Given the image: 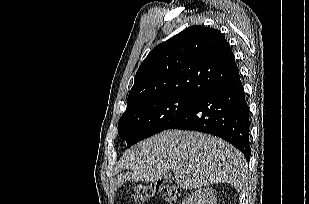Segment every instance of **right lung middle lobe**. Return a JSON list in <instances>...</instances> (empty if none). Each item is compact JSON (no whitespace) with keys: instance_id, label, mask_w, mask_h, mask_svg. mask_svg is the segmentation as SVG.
<instances>
[{"instance_id":"obj_1","label":"right lung middle lobe","mask_w":309,"mask_h":204,"mask_svg":"<svg viewBox=\"0 0 309 204\" xmlns=\"http://www.w3.org/2000/svg\"><path fill=\"white\" fill-rule=\"evenodd\" d=\"M200 97L165 95L140 100L127 105L118 124L119 136L127 146L165 130L189 110Z\"/></svg>"}]
</instances>
